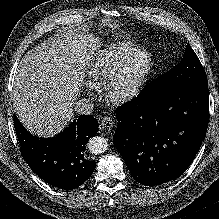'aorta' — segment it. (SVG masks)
<instances>
[{
	"instance_id": "obj_1",
	"label": "aorta",
	"mask_w": 219,
	"mask_h": 219,
	"mask_svg": "<svg viewBox=\"0 0 219 219\" xmlns=\"http://www.w3.org/2000/svg\"><path fill=\"white\" fill-rule=\"evenodd\" d=\"M88 148L93 154H101L108 148V141L102 136L91 137L88 141Z\"/></svg>"
}]
</instances>
